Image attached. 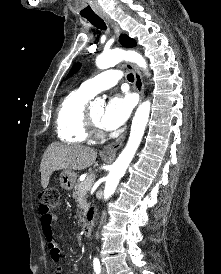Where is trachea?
Wrapping results in <instances>:
<instances>
[{"mask_svg":"<svg viewBox=\"0 0 221 274\" xmlns=\"http://www.w3.org/2000/svg\"><path fill=\"white\" fill-rule=\"evenodd\" d=\"M86 19L98 29L105 30L107 28L105 22L99 16L86 17ZM127 79L128 81L133 82L134 75L131 73L128 74Z\"/></svg>","mask_w":221,"mask_h":274,"instance_id":"1","label":"trachea"}]
</instances>
